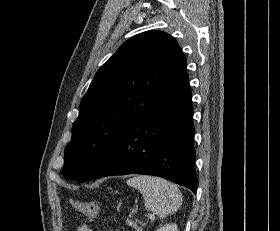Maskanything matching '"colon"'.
<instances>
[{
    "instance_id": "colon-1",
    "label": "colon",
    "mask_w": 280,
    "mask_h": 231,
    "mask_svg": "<svg viewBox=\"0 0 280 231\" xmlns=\"http://www.w3.org/2000/svg\"><path fill=\"white\" fill-rule=\"evenodd\" d=\"M74 208L85 214L90 220H94L100 213V205L96 201H83V200H72Z\"/></svg>"
}]
</instances>
